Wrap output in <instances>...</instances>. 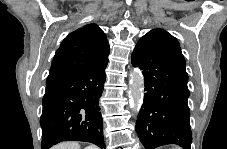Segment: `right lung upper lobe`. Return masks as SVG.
Returning <instances> with one entry per match:
<instances>
[{"label":"right lung upper lobe","instance_id":"cb5924a9","mask_svg":"<svg viewBox=\"0 0 227 149\" xmlns=\"http://www.w3.org/2000/svg\"><path fill=\"white\" fill-rule=\"evenodd\" d=\"M109 43L105 33L88 24L70 33L56 51L46 86L60 79L92 70L108 61Z\"/></svg>","mask_w":227,"mask_h":149}]
</instances>
